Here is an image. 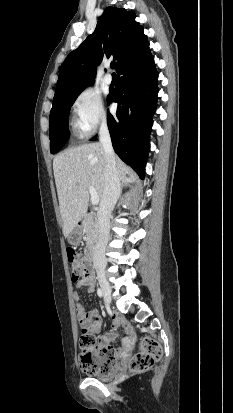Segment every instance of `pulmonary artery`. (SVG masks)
<instances>
[{
  "label": "pulmonary artery",
  "instance_id": "e3ab8cb5",
  "mask_svg": "<svg viewBox=\"0 0 233 413\" xmlns=\"http://www.w3.org/2000/svg\"><path fill=\"white\" fill-rule=\"evenodd\" d=\"M112 81H113V78H112L111 74H110V73H106L105 76H104V82H105L106 84H111Z\"/></svg>",
  "mask_w": 233,
  "mask_h": 413
}]
</instances>
